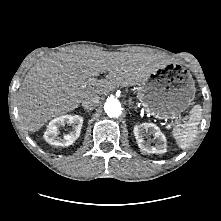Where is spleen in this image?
<instances>
[{
	"label": "spleen",
	"instance_id": "spleen-1",
	"mask_svg": "<svg viewBox=\"0 0 221 221\" xmlns=\"http://www.w3.org/2000/svg\"><path fill=\"white\" fill-rule=\"evenodd\" d=\"M190 113L191 115L185 124L177 125L172 130L173 137L182 149L190 146L197 135L198 124L201 118V106L195 105Z\"/></svg>",
	"mask_w": 221,
	"mask_h": 221
}]
</instances>
